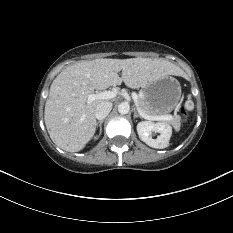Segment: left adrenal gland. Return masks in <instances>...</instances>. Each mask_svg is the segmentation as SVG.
I'll list each match as a JSON object with an SVG mask.
<instances>
[{
  "label": "left adrenal gland",
  "mask_w": 233,
  "mask_h": 233,
  "mask_svg": "<svg viewBox=\"0 0 233 233\" xmlns=\"http://www.w3.org/2000/svg\"><path fill=\"white\" fill-rule=\"evenodd\" d=\"M133 112H134V116H133L134 118H137V117L142 118V116L137 113L135 108L133 109Z\"/></svg>",
  "instance_id": "obj_1"
}]
</instances>
